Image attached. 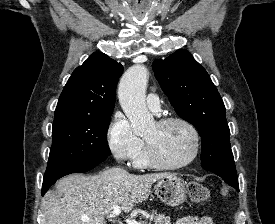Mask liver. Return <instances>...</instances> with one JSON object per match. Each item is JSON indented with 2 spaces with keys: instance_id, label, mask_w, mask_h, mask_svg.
Segmentation results:
<instances>
[{
  "instance_id": "obj_1",
  "label": "liver",
  "mask_w": 275,
  "mask_h": 224,
  "mask_svg": "<svg viewBox=\"0 0 275 224\" xmlns=\"http://www.w3.org/2000/svg\"><path fill=\"white\" fill-rule=\"evenodd\" d=\"M167 175H134L121 168L93 176L68 175L56 183L55 192L48 191L42 199L46 224H106V215L115 207L129 213L149 197L153 183Z\"/></svg>"
}]
</instances>
